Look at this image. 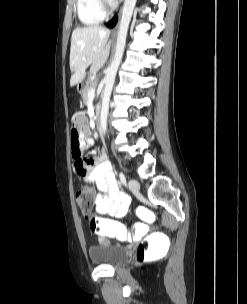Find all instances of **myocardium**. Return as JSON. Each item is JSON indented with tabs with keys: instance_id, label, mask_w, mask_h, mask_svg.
Wrapping results in <instances>:
<instances>
[{
	"instance_id": "f54148a6",
	"label": "myocardium",
	"mask_w": 247,
	"mask_h": 304,
	"mask_svg": "<svg viewBox=\"0 0 247 304\" xmlns=\"http://www.w3.org/2000/svg\"><path fill=\"white\" fill-rule=\"evenodd\" d=\"M97 2L99 10L104 16L109 15L113 11L114 6L109 0H97Z\"/></svg>"
}]
</instances>
